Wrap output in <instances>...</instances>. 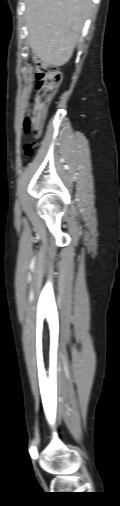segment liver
Masks as SVG:
<instances>
[{"label":"liver","instance_id":"obj_1","mask_svg":"<svg viewBox=\"0 0 120 506\" xmlns=\"http://www.w3.org/2000/svg\"><path fill=\"white\" fill-rule=\"evenodd\" d=\"M29 46L49 66H62L72 56L91 0H25Z\"/></svg>","mask_w":120,"mask_h":506}]
</instances>
